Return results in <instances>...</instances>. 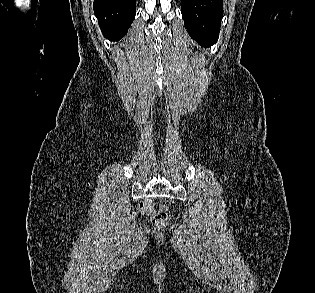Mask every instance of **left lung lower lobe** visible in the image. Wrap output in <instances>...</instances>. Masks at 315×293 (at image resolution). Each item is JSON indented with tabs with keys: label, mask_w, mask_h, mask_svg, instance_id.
I'll use <instances>...</instances> for the list:
<instances>
[{
	"label": "left lung lower lobe",
	"mask_w": 315,
	"mask_h": 293,
	"mask_svg": "<svg viewBox=\"0 0 315 293\" xmlns=\"http://www.w3.org/2000/svg\"><path fill=\"white\" fill-rule=\"evenodd\" d=\"M181 12L189 35L208 48L218 40L222 0H181Z\"/></svg>",
	"instance_id": "0a47b994"
}]
</instances>
